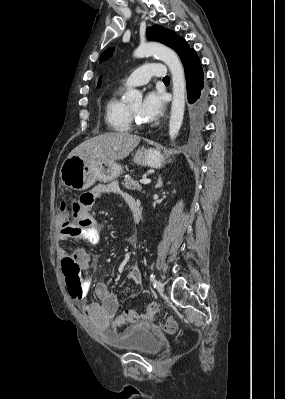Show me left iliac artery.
Returning a JSON list of instances; mask_svg holds the SVG:
<instances>
[{
  "mask_svg": "<svg viewBox=\"0 0 285 399\" xmlns=\"http://www.w3.org/2000/svg\"><path fill=\"white\" fill-rule=\"evenodd\" d=\"M150 280H151V282L156 283V277L154 274L150 275Z\"/></svg>",
  "mask_w": 285,
  "mask_h": 399,
  "instance_id": "left-iliac-artery-1",
  "label": "left iliac artery"
}]
</instances>
